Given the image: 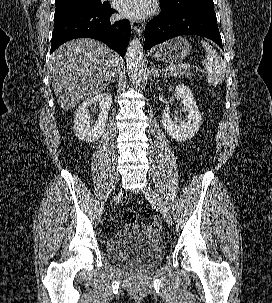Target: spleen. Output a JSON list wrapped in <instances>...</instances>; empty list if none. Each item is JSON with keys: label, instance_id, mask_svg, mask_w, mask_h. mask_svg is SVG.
<instances>
[{"label": "spleen", "instance_id": "spleen-1", "mask_svg": "<svg viewBox=\"0 0 272 303\" xmlns=\"http://www.w3.org/2000/svg\"><path fill=\"white\" fill-rule=\"evenodd\" d=\"M201 44L206 52L202 65L208 72L207 83L213 86L220 85L225 79L226 63L209 43L201 41ZM212 95L214 96L213 92Z\"/></svg>", "mask_w": 272, "mask_h": 303}]
</instances>
